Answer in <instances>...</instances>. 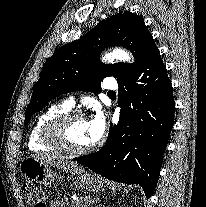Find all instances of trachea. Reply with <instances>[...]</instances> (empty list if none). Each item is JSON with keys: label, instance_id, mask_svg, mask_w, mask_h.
Returning <instances> with one entry per match:
<instances>
[{"label": "trachea", "instance_id": "3493384b", "mask_svg": "<svg viewBox=\"0 0 206 207\" xmlns=\"http://www.w3.org/2000/svg\"><path fill=\"white\" fill-rule=\"evenodd\" d=\"M108 94H110V95H111V94H115V92H113V91H110Z\"/></svg>", "mask_w": 206, "mask_h": 207}]
</instances>
